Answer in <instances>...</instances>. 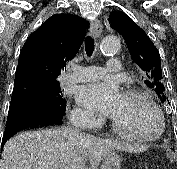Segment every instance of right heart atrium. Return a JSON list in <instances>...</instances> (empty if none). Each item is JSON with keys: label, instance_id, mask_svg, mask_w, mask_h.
<instances>
[{"label": "right heart atrium", "instance_id": "right-heart-atrium-1", "mask_svg": "<svg viewBox=\"0 0 177 169\" xmlns=\"http://www.w3.org/2000/svg\"><path fill=\"white\" fill-rule=\"evenodd\" d=\"M71 120L78 125H86L88 127H95L101 124V120L97 119L87 110L75 108L71 113Z\"/></svg>", "mask_w": 177, "mask_h": 169}]
</instances>
